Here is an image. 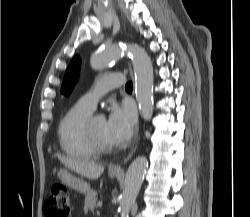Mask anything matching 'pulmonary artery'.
<instances>
[{
  "mask_svg": "<svg viewBox=\"0 0 250 217\" xmlns=\"http://www.w3.org/2000/svg\"><path fill=\"white\" fill-rule=\"evenodd\" d=\"M125 83L124 76L120 73H110L102 76L98 82L85 93L80 101L94 109L97 101L109 90L121 87Z\"/></svg>",
  "mask_w": 250,
  "mask_h": 217,
  "instance_id": "1",
  "label": "pulmonary artery"
}]
</instances>
